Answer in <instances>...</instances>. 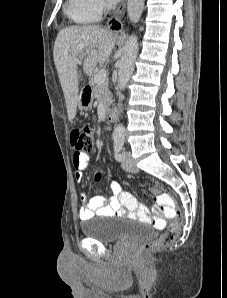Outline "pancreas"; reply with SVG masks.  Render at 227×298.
Returning a JSON list of instances; mask_svg holds the SVG:
<instances>
[{"instance_id":"obj_1","label":"pancreas","mask_w":227,"mask_h":298,"mask_svg":"<svg viewBox=\"0 0 227 298\" xmlns=\"http://www.w3.org/2000/svg\"><path fill=\"white\" fill-rule=\"evenodd\" d=\"M96 74L92 75L90 85L92 88L93 97L100 101L106 110L109 109L113 102L112 93L109 91L108 82L104 81L101 84L95 82Z\"/></svg>"}]
</instances>
